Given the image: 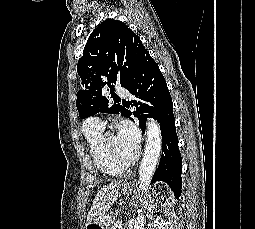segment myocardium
<instances>
[{
	"label": "myocardium",
	"mask_w": 255,
	"mask_h": 229,
	"mask_svg": "<svg viewBox=\"0 0 255 229\" xmlns=\"http://www.w3.org/2000/svg\"><path fill=\"white\" fill-rule=\"evenodd\" d=\"M113 134H105L102 136L101 138V149H102V152L103 154L114 164L116 165L117 167L125 170L131 166H133L136 161L138 160V157H139V153L136 152L135 155L130 159V160H127V161H122V160H119L118 158H116L108 149V146H107V137L108 136H111Z\"/></svg>",
	"instance_id": "myocardium-1"
}]
</instances>
